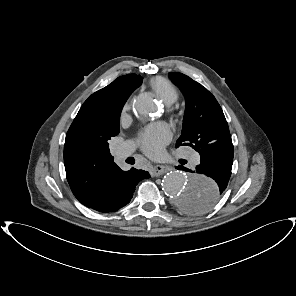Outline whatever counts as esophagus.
Here are the masks:
<instances>
[{
	"label": "esophagus",
	"instance_id": "esophagus-1",
	"mask_svg": "<svg viewBox=\"0 0 296 296\" xmlns=\"http://www.w3.org/2000/svg\"><path fill=\"white\" fill-rule=\"evenodd\" d=\"M170 170L169 167L164 166V165H155L151 170L150 174L153 177H157L159 175H162Z\"/></svg>",
	"mask_w": 296,
	"mask_h": 296
}]
</instances>
